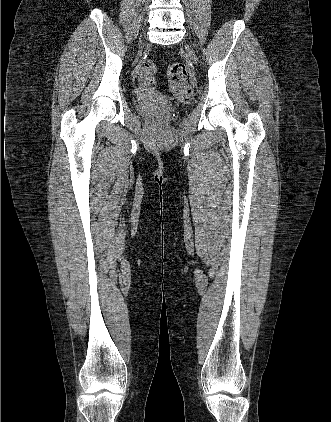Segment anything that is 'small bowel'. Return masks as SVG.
<instances>
[{
    "label": "small bowel",
    "instance_id": "small-bowel-1",
    "mask_svg": "<svg viewBox=\"0 0 331 422\" xmlns=\"http://www.w3.org/2000/svg\"><path fill=\"white\" fill-rule=\"evenodd\" d=\"M140 78H141V85H140L141 91L142 92L150 91L154 86L153 80L152 81L146 80V79L142 78L141 75H140Z\"/></svg>",
    "mask_w": 331,
    "mask_h": 422
}]
</instances>
